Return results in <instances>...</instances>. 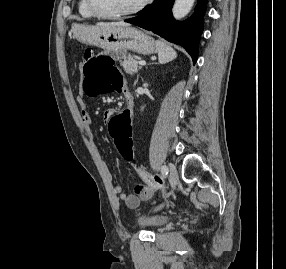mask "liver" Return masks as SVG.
Returning <instances> with one entry per match:
<instances>
[{"mask_svg": "<svg viewBox=\"0 0 286 269\" xmlns=\"http://www.w3.org/2000/svg\"><path fill=\"white\" fill-rule=\"evenodd\" d=\"M98 26H105V27H129L130 25L125 22H107V23H98Z\"/></svg>", "mask_w": 286, "mask_h": 269, "instance_id": "liver-1", "label": "liver"}]
</instances>
